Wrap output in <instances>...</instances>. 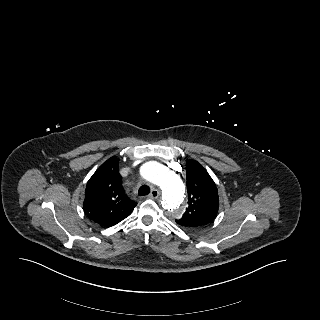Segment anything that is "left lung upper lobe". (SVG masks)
Returning a JSON list of instances; mask_svg holds the SVG:
<instances>
[{"mask_svg": "<svg viewBox=\"0 0 320 320\" xmlns=\"http://www.w3.org/2000/svg\"><path fill=\"white\" fill-rule=\"evenodd\" d=\"M188 207L176 223L193 229L210 223L218 212L217 187L203 166L194 160L186 163Z\"/></svg>", "mask_w": 320, "mask_h": 320, "instance_id": "1", "label": "left lung upper lobe"}]
</instances>
